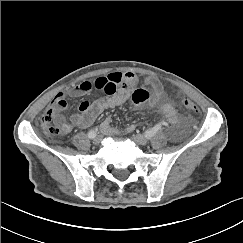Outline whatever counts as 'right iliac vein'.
Returning <instances> with one entry per match:
<instances>
[{
  "instance_id": "right-iliac-vein-1",
  "label": "right iliac vein",
  "mask_w": 243,
  "mask_h": 243,
  "mask_svg": "<svg viewBox=\"0 0 243 243\" xmlns=\"http://www.w3.org/2000/svg\"><path fill=\"white\" fill-rule=\"evenodd\" d=\"M101 140H102L101 136H96V137L93 139V143H94L95 145H98V144H100Z\"/></svg>"
}]
</instances>
